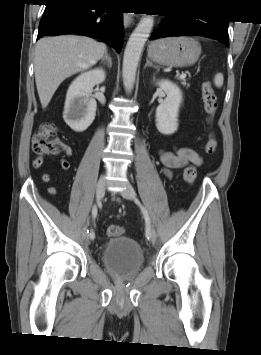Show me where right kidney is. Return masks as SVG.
I'll use <instances>...</instances> for the list:
<instances>
[{"mask_svg": "<svg viewBox=\"0 0 261 355\" xmlns=\"http://www.w3.org/2000/svg\"><path fill=\"white\" fill-rule=\"evenodd\" d=\"M105 79L104 70L93 69L79 75L69 86L63 118L72 130L83 132L94 121L97 103L91 94L93 87Z\"/></svg>", "mask_w": 261, "mask_h": 355, "instance_id": "obj_1", "label": "right kidney"}]
</instances>
